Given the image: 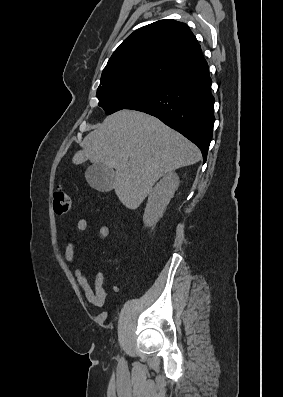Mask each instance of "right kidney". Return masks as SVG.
<instances>
[{
  "instance_id": "right-kidney-1",
  "label": "right kidney",
  "mask_w": 283,
  "mask_h": 397,
  "mask_svg": "<svg viewBox=\"0 0 283 397\" xmlns=\"http://www.w3.org/2000/svg\"><path fill=\"white\" fill-rule=\"evenodd\" d=\"M179 183L178 175L175 172H169L150 190L143 215V222L146 227L155 226L173 198Z\"/></svg>"
}]
</instances>
